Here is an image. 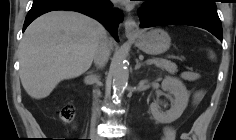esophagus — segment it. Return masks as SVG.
<instances>
[{"instance_id": "esophagus-1", "label": "esophagus", "mask_w": 236, "mask_h": 140, "mask_svg": "<svg viewBox=\"0 0 236 140\" xmlns=\"http://www.w3.org/2000/svg\"><path fill=\"white\" fill-rule=\"evenodd\" d=\"M124 26L126 35H135L139 32V26L132 17L126 19Z\"/></svg>"}]
</instances>
